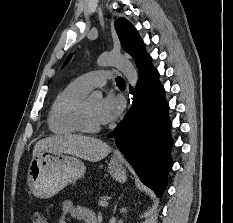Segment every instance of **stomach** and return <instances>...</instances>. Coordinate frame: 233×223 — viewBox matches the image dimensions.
I'll return each mask as SVG.
<instances>
[{"label":"stomach","mask_w":233,"mask_h":223,"mask_svg":"<svg viewBox=\"0 0 233 223\" xmlns=\"http://www.w3.org/2000/svg\"><path fill=\"white\" fill-rule=\"evenodd\" d=\"M108 171L116 181L124 183L127 179L126 169L120 159H110ZM86 165L80 157L71 153L58 151H40L32 157L27 175L29 189L35 197L47 199L59 193L69 183L84 177Z\"/></svg>","instance_id":"0dacf381"}]
</instances>
